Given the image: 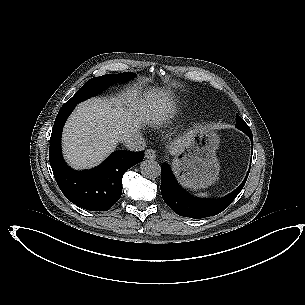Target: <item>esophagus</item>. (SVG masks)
<instances>
[{"mask_svg": "<svg viewBox=\"0 0 305 305\" xmlns=\"http://www.w3.org/2000/svg\"><path fill=\"white\" fill-rule=\"evenodd\" d=\"M145 157L150 160H154L156 158V152L153 149H148L145 152Z\"/></svg>", "mask_w": 305, "mask_h": 305, "instance_id": "1", "label": "esophagus"}]
</instances>
